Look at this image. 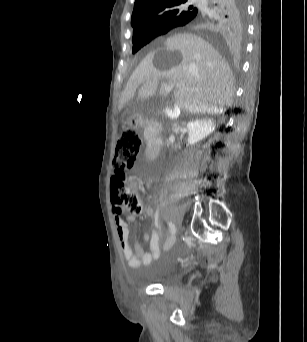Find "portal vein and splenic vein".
Listing matches in <instances>:
<instances>
[{
    "mask_svg": "<svg viewBox=\"0 0 307 342\" xmlns=\"http://www.w3.org/2000/svg\"><path fill=\"white\" fill-rule=\"evenodd\" d=\"M167 84H168V81L166 79H163L162 81H159L157 88L159 90H163L164 93H171L172 88H174L175 84H170V86H166Z\"/></svg>",
    "mask_w": 307,
    "mask_h": 342,
    "instance_id": "portal-vein-and-splenic-vein-1",
    "label": "portal vein and splenic vein"
}]
</instances>
